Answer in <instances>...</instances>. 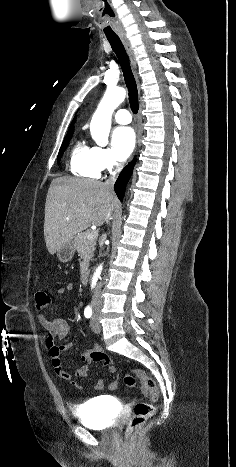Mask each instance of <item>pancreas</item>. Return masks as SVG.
<instances>
[{"instance_id": "obj_1", "label": "pancreas", "mask_w": 236, "mask_h": 467, "mask_svg": "<svg viewBox=\"0 0 236 467\" xmlns=\"http://www.w3.org/2000/svg\"><path fill=\"white\" fill-rule=\"evenodd\" d=\"M89 231L78 234L74 238V246L79 253L80 257L83 261L80 263V271L81 274L87 272L89 267V261L94 256L95 246H96V239H87V234Z\"/></svg>"}]
</instances>
